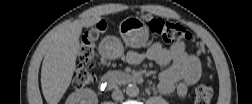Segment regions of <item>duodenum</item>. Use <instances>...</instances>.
<instances>
[{
	"mask_svg": "<svg viewBox=\"0 0 252 104\" xmlns=\"http://www.w3.org/2000/svg\"><path fill=\"white\" fill-rule=\"evenodd\" d=\"M143 78L136 74L125 73H109L106 74L100 81V86L104 90H109L116 87L118 84H139L142 83Z\"/></svg>",
	"mask_w": 252,
	"mask_h": 104,
	"instance_id": "1",
	"label": "duodenum"
}]
</instances>
